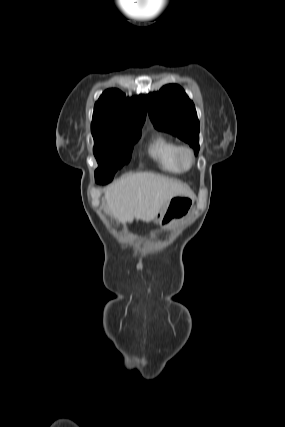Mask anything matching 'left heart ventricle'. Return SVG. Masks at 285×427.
Segmentation results:
<instances>
[{"label": "left heart ventricle", "mask_w": 285, "mask_h": 427, "mask_svg": "<svg viewBox=\"0 0 285 427\" xmlns=\"http://www.w3.org/2000/svg\"><path fill=\"white\" fill-rule=\"evenodd\" d=\"M184 162H185V164H188L189 160L187 157L184 158Z\"/></svg>", "instance_id": "b2bd125f"}]
</instances>
